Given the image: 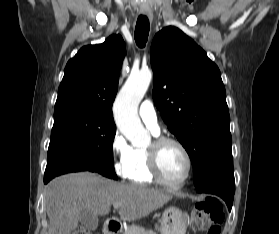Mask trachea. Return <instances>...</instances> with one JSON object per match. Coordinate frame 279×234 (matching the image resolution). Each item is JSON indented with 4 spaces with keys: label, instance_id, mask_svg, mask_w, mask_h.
Instances as JSON below:
<instances>
[{
    "label": "trachea",
    "instance_id": "1",
    "mask_svg": "<svg viewBox=\"0 0 279 234\" xmlns=\"http://www.w3.org/2000/svg\"><path fill=\"white\" fill-rule=\"evenodd\" d=\"M149 29L148 18L144 15H140L135 27V41L140 48H143L146 45Z\"/></svg>",
    "mask_w": 279,
    "mask_h": 234
}]
</instances>
